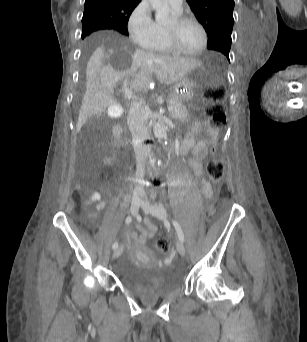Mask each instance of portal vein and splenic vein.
I'll list each match as a JSON object with an SVG mask.
<instances>
[{"label": "portal vein and splenic vein", "instance_id": "18ae733b", "mask_svg": "<svg viewBox=\"0 0 307 342\" xmlns=\"http://www.w3.org/2000/svg\"><path fill=\"white\" fill-rule=\"evenodd\" d=\"M131 81V78L130 77H127L126 79H123L121 81V84H122V90L125 92V95L127 97V99L129 101H133L135 100L137 97L134 95V87L133 86H127L129 84V82ZM169 111H173L175 110L176 108L173 107V106H169L167 108Z\"/></svg>", "mask_w": 307, "mask_h": 342}]
</instances>
